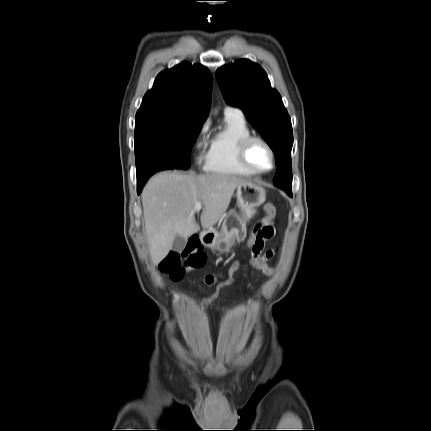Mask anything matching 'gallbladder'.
I'll return each mask as SVG.
<instances>
[{"label": "gallbladder", "mask_w": 431, "mask_h": 431, "mask_svg": "<svg viewBox=\"0 0 431 431\" xmlns=\"http://www.w3.org/2000/svg\"><path fill=\"white\" fill-rule=\"evenodd\" d=\"M187 243V239L182 237V236H176L174 241H173V245H172V249L173 251L180 253L183 251V249L185 248Z\"/></svg>", "instance_id": "1"}]
</instances>
